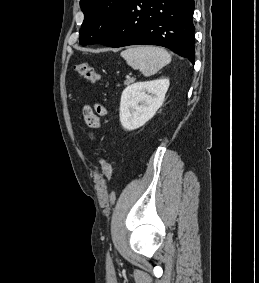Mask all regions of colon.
Returning a JSON list of instances; mask_svg holds the SVG:
<instances>
[{"mask_svg": "<svg viewBox=\"0 0 259 283\" xmlns=\"http://www.w3.org/2000/svg\"><path fill=\"white\" fill-rule=\"evenodd\" d=\"M74 70L78 75L82 76L92 83H97L101 78L100 74L95 70V68L85 62L75 64ZM100 163L102 166L104 178L105 180L109 181L112 177L113 172L112 165L106 157H102L100 159Z\"/></svg>", "mask_w": 259, "mask_h": 283, "instance_id": "1", "label": "colon"}]
</instances>
